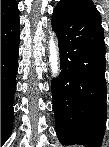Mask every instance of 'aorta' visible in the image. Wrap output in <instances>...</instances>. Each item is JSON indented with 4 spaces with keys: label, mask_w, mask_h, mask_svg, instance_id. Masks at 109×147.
<instances>
[{
    "label": "aorta",
    "mask_w": 109,
    "mask_h": 147,
    "mask_svg": "<svg viewBox=\"0 0 109 147\" xmlns=\"http://www.w3.org/2000/svg\"><path fill=\"white\" fill-rule=\"evenodd\" d=\"M49 63L53 77L59 74V51L55 33H52L49 40Z\"/></svg>",
    "instance_id": "aorta-1"
}]
</instances>
